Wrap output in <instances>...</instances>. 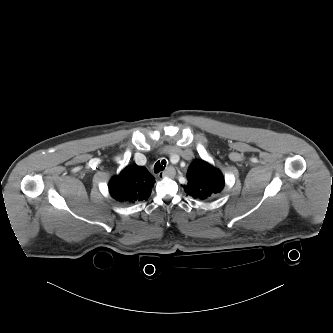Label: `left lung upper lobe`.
I'll use <instances>...</instances> for the list:
<instances>
[{"instance_id": "obj_1", "label": "left lung upper lobe", "mask_w": 333, "mask_h": 333, "mask_svg": "<svg viewBox=\"0 0 333 333\" xmlns=\"http://www.w3.org/2000/svg\"><path fill=\"white\" fill-rule=\"evenodd\" d=\"M187 179L184 186L187 195L202 200L219 196L225 184L220 170L203 160H194L190 164Z\"/></svg>"}]
</instances>
